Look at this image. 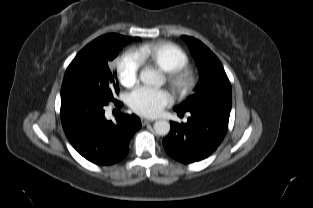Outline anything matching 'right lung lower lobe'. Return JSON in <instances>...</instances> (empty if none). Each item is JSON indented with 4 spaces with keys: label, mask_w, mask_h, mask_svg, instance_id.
Returning <instances> with one entry per match:
<instances>
[{
    "label": "right lung lower lobe",
    "mask_w": 313,
    "mask_h": 208,
    "mask_svg": "<svg viewBox=\"0 0 313 208\" xmlns=\"http://www.w3.org/2000/svg\"><path fill=\"white\" fill-rule=\"evenodd\" d=\"M109 101L74 87L61 88V121L72 146L87 160L98 165H111L122 160L129 151L133 134L141 127L132 114L118 117L117 123L104 116ZM122 106L119 101H114Z\"/></svg>",
    "instance_id": "1"
}]
</instances>
